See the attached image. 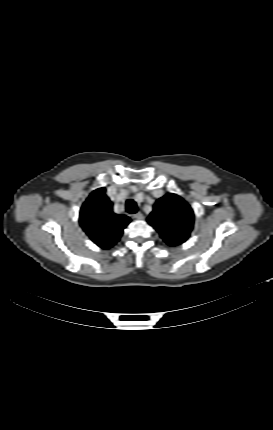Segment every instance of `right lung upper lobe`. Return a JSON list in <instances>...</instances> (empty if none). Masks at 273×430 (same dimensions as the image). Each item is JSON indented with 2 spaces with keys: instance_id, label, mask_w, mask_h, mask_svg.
Wrapping results in <instances>:
<instances>
[{
  "instance_id": "right-lung-upper-lobe-1",
  "label": "right lung upper lobe",
  "mask_w": 273,
  "mask_h": 430,
  "mask_svg": "<svg viewBox=\"0 0 273 430\" xmlns=\"http://www.w3.org/2000/svg\"><path fill=\"white\" fill-rule=\"evenodd\" d=\"M112 202L105 188L93 191L83 203L79 223L89 238L102 249H109L120 239L123 229L131 221L126 215L112 211Z\"/></svg>"
}]
</instances>
